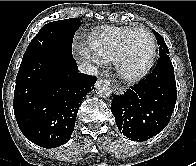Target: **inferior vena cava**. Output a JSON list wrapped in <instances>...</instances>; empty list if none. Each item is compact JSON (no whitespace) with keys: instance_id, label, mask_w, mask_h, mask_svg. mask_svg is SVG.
I'll use <instances>...</instances> for the list:
<instances>
[{"instance_id":"602c4592","label":"inferior vena cava","mask_w":196,"mask_h":166,"mask_svg":"<svg viewBox=\"0 0 196 166\" xmlns=\"http://www.w3.org/2000/svg\"><path fill=\"white\" fill-rule=\"evenodd\" d=\"M78 70L80 71V73L86 74V75H92V76H96L99 74L98 69L89 64V63H82L78 66Z\"/></svg>"}]
</instances>
